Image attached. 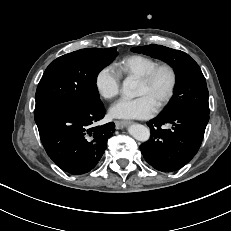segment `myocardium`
I'll return each mask as SVG.
<instances>
[{
	"label": "myocardium",
	"mask_w": 231,
	"mask_h": 231,
	"mask_svg": "<svg viewBox=\"0 0 231 231\" xmlns=\"http://www.w3.org/2000/svg\"><path fill=\"white\" fill-rule=\"evenodd\" d=\"M161 72H166L169 76V85L168 88L163 95V97L159 100L156 105V110H162L173 98L175 91L178 86V72L174 65L168 62L159 63L154 66L151 70H149L146 74L139 77V81L145 85H151L157 76Z\"/></svg>",
	"instance_id": "myocardium-1"
}]
</instances>
